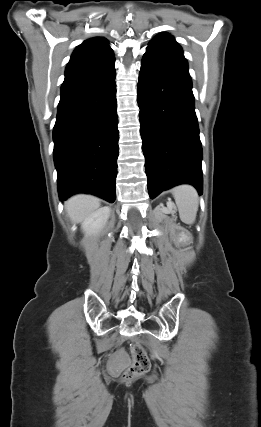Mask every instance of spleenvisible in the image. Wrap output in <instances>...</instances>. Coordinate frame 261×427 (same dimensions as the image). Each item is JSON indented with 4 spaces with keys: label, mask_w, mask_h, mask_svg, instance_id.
I'll use <instances>...</instances> for the list:
<instances>
[{
    "label": "spleen",
    "mask_w": 261,
    "mask_h": 427,
    "mask_svg": "<svg viewBox=\"0 0 261 427\" xmlns=\"http://www.w3.org/2000/svg\"><path fill=\"white\" fill-rule=\"evenodd\" d=\"M172 193L181 221L185 224H193L199 206V197L195 188L190 185H181L175 187Z\"/></svg>",
    "instance_id": "3e777b00"
}]
</instances>
